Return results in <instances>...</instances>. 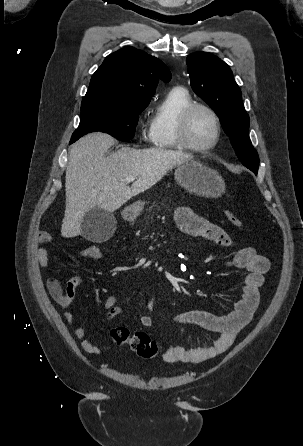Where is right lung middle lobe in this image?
Returning <instances> with one entry per match:
<instances>
[{
    "mask_svg": "<svg viewBox=\"0 0 303 446\" xmlns=\"http://www.w3.org/2000/svg\"><path fill=\"white\" fill-rule=\"evenodd\" d=\"M146 105H87L81 106V118L70 144L89 132H105L118 140L133 138L138 123V114Z\"/></svg>",
    "mask_w": 303,
    "mask_h": 446,
    "instance_id": "obj_1",
    "label": "right lung middle lobe"
}]
</instances>
